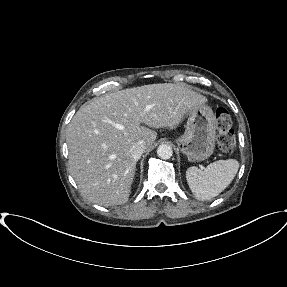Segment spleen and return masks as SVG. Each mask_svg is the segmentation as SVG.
<instances>
[{
    "mask_svg": "<svg viewBox=\"0 0 287 287\" xmlns=\"http://www.w3.org/2000/svg\"><path fill=\"white\" fill-rule=\"evenodd\" d=\"M239 169L235 159L218 160L205 170L192 166L186 171L188 185L199 200H210L224 191L234 179Z\"/></svg>",
    "mask_w": 287,
    "mask_h": 287,
    "instance_id": "obj_1",
    "label": "spleen"
}]
</instances>
